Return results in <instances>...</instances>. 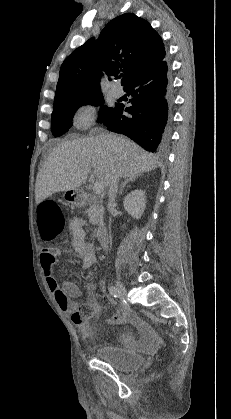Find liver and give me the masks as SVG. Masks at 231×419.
Masks as SVG:
<instances>
[{"instance_id":"liver-1","label":"liver","mask_w":231,"mask_h":419,"mask_svg":"<svg viewBox=\"0 0 231 419\" xmlns=\"http://www.w3.org/2000/svg\"><path fill=\"white\" fill-rule=\"evenodd\" d=\"M157 158L130 139L100 133L56 146L40 170L35 185L36 204L54 193L81 187L90 180L108 187L111 177L129 178L157 168Z\"/></svg>"}]
</instances>
